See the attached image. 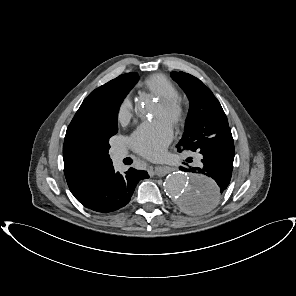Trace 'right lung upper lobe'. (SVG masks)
Listing matches in <instances>:
<instances>
[{
	"label": "right lung upper lobe",
	"mask_w": 296,
	"mask_h": 296,
	"mask_svg": "<svg viewBox=\"0 0 296 296\" xmlns=\"http://www.w3.org/2000/svg\"><path fill=\"white\" fill-rule=\"evenodd\" d=\"M134 74L137 73L120 75L92 91L67 128L63 145L64 174L74 196L80 194L98 176L113 168L108 155L110 146L96 135L91 119L108 101L112 91Z\"/></svg>",
	"instance_id": "1"
}]
</instances>
